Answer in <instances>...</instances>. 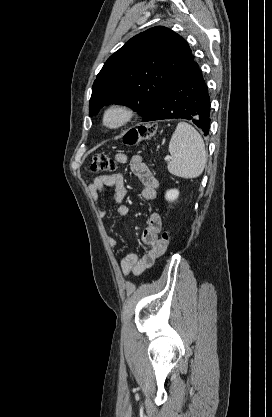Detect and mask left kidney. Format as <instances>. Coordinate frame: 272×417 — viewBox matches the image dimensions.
Returning <instances> with one entry per match:
<instances>
[{
	"mask_svg": "<svg viewBox=\"0 0 272 417\" xmlns=\"http://www.w3.org/2000/svg\"><path fill=\"white\" fill-rule=\"evenodd\" d=\"M179 196V191L177 189L168 190L165 194V199L169 202L175 201Z\"/></svg>",
	"mask_w": 272,
	"mask_h": 417,
	"instance_id": "1",
	"label": "left kidney"
}]
</instances>
